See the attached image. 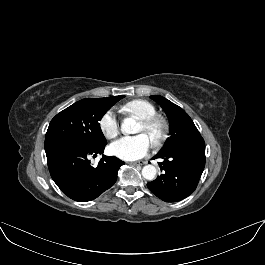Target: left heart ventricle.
I'll use <instances>...</instances> for the list:
<instances>
[{"label":"left heart ventricle","instance_id":"b2bd125f","mask_svg":"<svg viewBox=\"0 0 265 265\" xmlns=\"http://www.w3.org/2000/svg\"><path fill=\"white\" fill-rule=\"evenodd\" d=\"M138 132H139V133H144V134H146V135L151 139V133L148 132V131L143 127L142 124H140L139 129H138Z\"/></svg>","mask_w":265,"mask_h":265}]
</instances>
